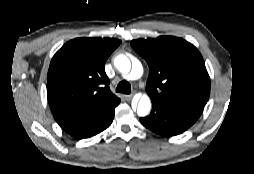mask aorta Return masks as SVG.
<instances>
[{
  "label": "aorta",
  "instance_id": "762f6f07",
  "mask_svg": "<svg viewBox=\"0 0 254 174\" xmlns=\"http://www.w3.org/2000/svg\"><path fill=\"white\" fill-rule=\"evenodd\" d=\"M114 65L118 71L123 74L130 73L131 79H138L143 74V66L141 62L135 59L132 62V69H131V61L125 55H119L114 60ZM151 110V100L148 95H143L137 106V114L141 117L147 116Z\"/></svg>",
  "mask_w": 254,
  "mask_h": 174
}]
</instances>
